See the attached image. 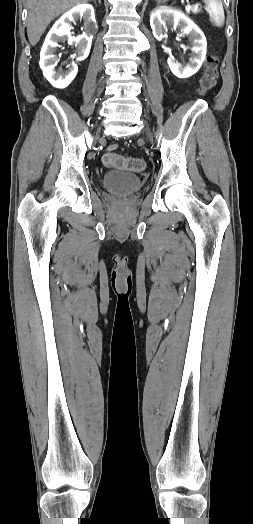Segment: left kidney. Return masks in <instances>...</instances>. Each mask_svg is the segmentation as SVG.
Segmentation results:
<instances>
[{
  "mask_svg": "<svg viewBox=\"0 0 253 524\" xmlns=\"http://www.w3.org/2000/svg\"><path fill=\"white\" fill-rule=\"evenodd\" d=\"M150 25L153 35L158 41L166 39V32L168 28L172 27H180L181 34L189 37L192 43L190 62L183 67L173 56L169 57L167 62L171 72L178 78H188L194 75L200 69L206 57L207 42L203 32L182 12L166 6L152 11Z\"/></svg>",
  "mask_w": 253,
  "mask_h": 524,
  "instance_id": "obj_1",
  "label": "left kidney"
}]
</instances>
